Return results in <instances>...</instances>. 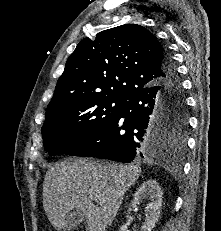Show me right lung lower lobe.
Instances as JSON below:
<instances>
[{"label": "right lung lower lobe", "mask_w": 221, "mask_h": 231, "mask_svg": "<svg viewBox=\"0 0 221 231\" xmlns=\"http://www.w3.org/2000/svg\"><path fill=\"white\" fill-rule=\"evenodd\" d=\"M161 68L160 83L131 93L102 129L65 154L125 163L158 154L168 138L158 126V114L167 102L185 103L176 66L165 49Z\"/></svg>", "instance_id": "right-lung-lower-lobe-1"}]
</instances>
